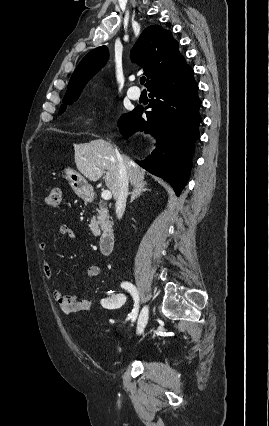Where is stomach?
Instances as JSON below:
<instances>
[{"mask_svg": "<svg viewBox=\"0 0 269 426\" xmlns=\"http://www.w3.org/2000/svg\"><path fill=\"white\" fill-rule=\"evenodd\" d=\"M62 172L76 195L86 199L92 194V186L80 173L71 168H65Z\"/></svg>", "mask_w": 269, "mask_h": 426, "instance_id": "obj_1", "label": "stomach"}]
</instances>
